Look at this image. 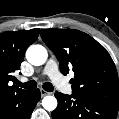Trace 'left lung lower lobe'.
I'll use <instances>...</instances> for the list:
<instances>
[{
	"label": "left lung lower lobe",
	"instance_id": "1",
	"mask_svg": "<svg viewBox=\"0 0 119 119\" xmlns=\"http://www.w3.org/2000/svg\"><path fill=\"white\" fill-rule=\"evenodd\" d=\"M57 108L53 119H116L118 104L86 98L81 95H65L55 92Z\"/></svg>",
	"mask_w": 119,
	"mask_h": 119
}]
</instances>
